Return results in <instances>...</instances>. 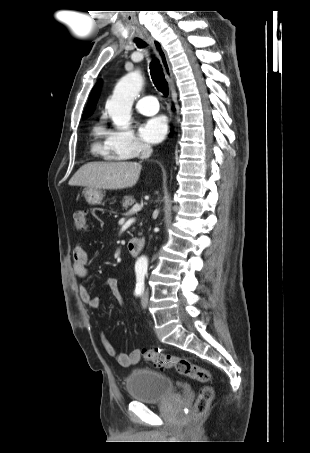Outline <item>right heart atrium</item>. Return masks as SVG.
Wrapping results in <instances>:
<instances>
[{
	"label": "right heart atrium",
	"mask_w": 310,
	"mask_h": 453,
	"mask_svg": "<svg viewBox=\"0 0 310 453\" xmlns=\"http://www.w3.org/2000/svg\"><path fill=\"white\" fill-rule=\"evenodd\" d=\"M103 136L110 153L120 158L136 157L148 148L129 127L103 129Z\"/></svg>",
	"instance_id": "right-heart-atrium-1"
}]
</instances>
